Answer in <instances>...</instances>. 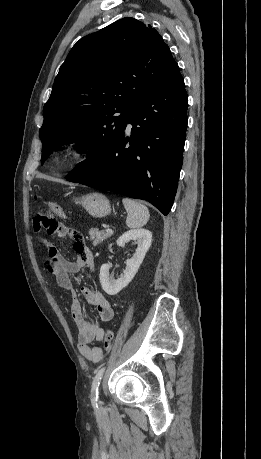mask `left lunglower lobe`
<instances>
[{
	"instance_id": "left-lung-lower-lobe-1",
	"label": "left lung lower lobe",
	"mask_w": 261,
	"mask_h": 459,
	"mask_svg": "<svg viewBox=\"0 0 261 459\" xmlns=\"http://www.w3.org/2000/svg\"><path fill=\"white\" fill-rule=\"evenodd\" d=\"M188 97L178 64L145 95L129 115L107 157L88 171L73 169L66 180L147 200L170 212L183 162Z\"/></svg>"
}]
</instances>
